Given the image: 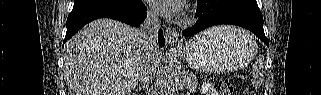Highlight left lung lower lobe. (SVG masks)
Wrapping results in <instances>:
<instances>
[{
	"mask_svg": "<svg viewBox=\"0 0 321 95\" xmlns=\"http://www.w3.org/2000/svg\"><path fill=\"white\" fill-rule=\"evenodd\" d=\"M196 14L197 22L183 32L184 36H192L214 25L232 24L252 31L269 46L256 0H198Z\"/></svg>",
	"mask_w": 321,
	"mask_h": 95,
	"instance_id": "obj_1",
	"label": "left lung lower lobe"
}]
</instances>
